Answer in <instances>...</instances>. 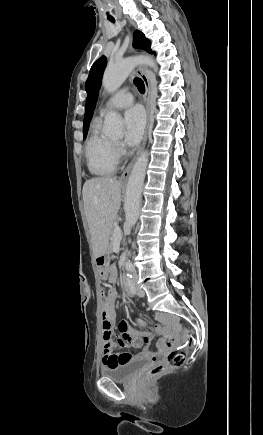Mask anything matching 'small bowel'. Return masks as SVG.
<instances>
[{
	"instance_id": "small-bowel-1",
	"label": "small bowel",
	"mask_w": 263,
	"mask_h": 435,
	"mask_svg": "<svg viewBox=\"0 0 263 435\" xmlns=\"http://www.w3.org/2000/svg\"><path fill=\"white\" fill-rule=\"evenodd\" d=\"M117 277V270L115 267H111L107 271V279L113 283ZM116 301L117 292L115 289L110 288L102 304V329L112 328L116 325ZM158 319L167 325L177 326V320L175 317L165 314H158ZM120 335L117 339H114L112 350H103L102 362L106 366L120 365L125 362L131 361L136 358H143L150 356L148 352L131 353V352H115L117 346L120 347H134L142 348L145 344L151 341V333L143 331L140 335L133 333L130 330L129 321L123 319L118 324ZM103 339V336H102ZM104 339L102 340V342ZM175 338L173 336H163L160 339L158 347L160 350H173Z\"/></svg>"
}]
</instances>
